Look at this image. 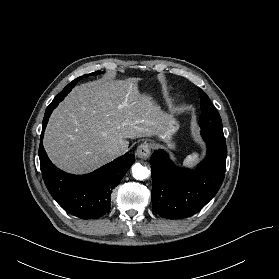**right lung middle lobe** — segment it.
<instances>
[{"label":"right lung middle lobe","mask_w":279,"mask_h":279,"mask_svg":"<svg viewBox=\"0 0 279 279\" xmlns=\"http://www.w3.org/2000/svg\"><path fill=\"white\" fill-rule=\"evenodd\" d=\"M100 72H94V73H91V75H96V74H99ZM87 76V75H84V77ZM82 77H79L75 80H73L71 83H69L65 88L64 90L60 93H64L65 91H68V90H71V88H73L75 86V84L81 79Z\"/></svg>","instance_id":"dd1d6c3e"}]
</instances>
